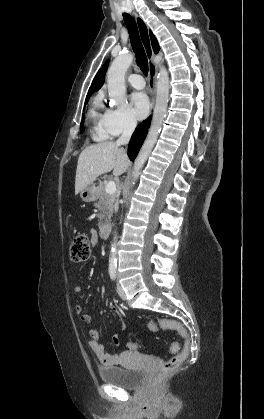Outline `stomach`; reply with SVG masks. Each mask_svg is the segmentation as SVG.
I'll list each match as a JSON object with an SVG mask.
<instances>
[{
  "label": "stomach",
  "instance_id": "1",
  "mask_svg": "<svg viewBox=\"0 0 264 419\" xmlns=\"http://www.w3.org/2000/svg\"><path fill=\"white\" fill-rule=\"evenodd\" d=\"M98 196V190L94 183L86 186L80 192V197L84 202H93Z\"/></svg>",
  "mask_w": 264,
  "mask_h": 419
}]
</instances>
